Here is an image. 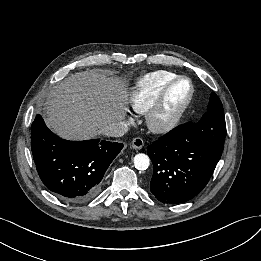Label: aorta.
I'll return each instance as SVG.
<instances>
[{
	"label": "aorta",
	"instance_id": "obj_1",
	"mask_svg": "<svg viewBox=\"0 0 261 261\" xmlns=\"http://www.w3.org/2000/svg\"><path fill=\"white\" fill-rule=\"evenodd\" d=\"M134 166L138 170H146L150 165V159L147 155L139 153L134 157Z\"/></svg>",
	"mask_w": 261,
	"mask_h": 261
}]
</instances>
